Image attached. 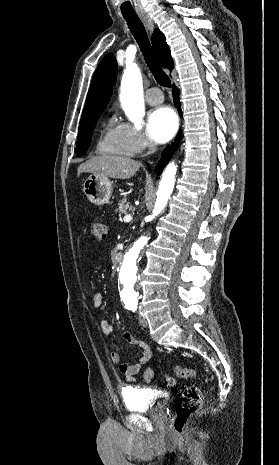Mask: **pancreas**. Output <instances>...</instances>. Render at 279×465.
I'll return each instance as SVG.
<instances>
[{
    "mask_svg": "<svg viewBox=\"0 0 279 465\" xmlns=\"http://www.w3.org/2000/svg\"><path fill=\"white\" fill-rule=\"evenodd\" d=\"M131 209L132 206L130 205V203L126 202V200L124 199L118 203V208L115 211L118 212L119 216H121L122 214H126Z\"/></svg>",
    "mask_w": 279,
    "mask_h": 465,
    "instance_id": "pancreas-1",
    "label": "pancreas"
}]
</instances>
